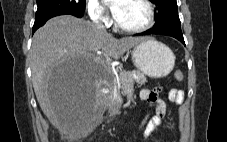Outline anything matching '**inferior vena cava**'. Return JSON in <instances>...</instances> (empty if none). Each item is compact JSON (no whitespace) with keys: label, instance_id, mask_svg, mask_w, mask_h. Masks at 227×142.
<instances>
[{"label":"inferior vena cava","instance_id":"602c4592","mask_svg":"<svg viewBox=\"0 0 227 142\" xmlns=\"http://www.w3.org/2000/svg\"><path fill=\"white\" fill-rule=\"evenodd\" d=\"M93 24H94L99 30H105L103 24L100 23V22L98 21V19L95 18V19L93 20Z\"/></svg>","mask_w":227,"mask_h":142}]
</instances>
